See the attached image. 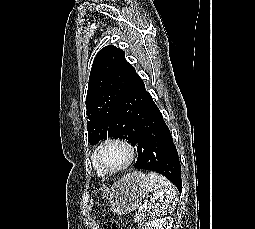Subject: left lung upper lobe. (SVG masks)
Here are the masks:
<instances>
[{
  "label": "left lung upper lobe",
  "mask_w": 255,
  "mask_h": 229,
  "mask_svg": "<svg viewBox=\"0 0 255 229\" xmlns=\"http://www.w3.org/2000/svg\"><path fill=\"white\" fill-rule=\"evenodd\" d=\"M136 71L125 60L123 50L113 45L102 48L96 55L90 72L86 96L88 140L92 145L110 137L124 138L133 144L131 135L124 132L118 113Z\"/></svg>",
  "instance_id": "left-lung-upper-lobe-1"
}]
</instances>
